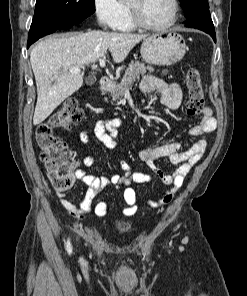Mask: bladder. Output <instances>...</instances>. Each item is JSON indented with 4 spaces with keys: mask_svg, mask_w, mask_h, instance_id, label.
Segmentation results:
<instances>
[{
    "mask_svg": "<svg viewBox=\"0 0 247 296\" xmlns=\"http://www.w3.org/2000/svg\"><path fill=\"white\" fill-rule=\"evenodd\" d=\"M128 228L127 227H119L120 231H126Z\"/></svg>",
    "mask_w": 247,
    "mask_h": 296,
    "instance_id": "bladder-1",
    "label": "bladder"
}]
</instances>
